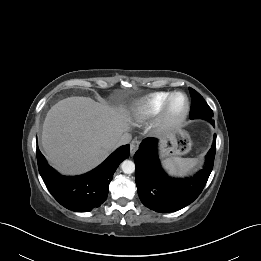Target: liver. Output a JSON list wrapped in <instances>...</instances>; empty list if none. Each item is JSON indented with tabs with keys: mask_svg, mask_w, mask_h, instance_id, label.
<instances>
[{
	"mask_svg": "<svg viewBox=\"0 0 261 261\" xmlns=\"http://www.w3.org/2000/svg\"><path fill=\"white\" fill-rule=\"evenodd\" d=\"M129 126L124 107L113 108L88 97H68L48 111L42 147L59 172L81 174L104 161Z\"/></svg>",
	"mask_w": 261,
	"mask_h": 261,
	"instance_id": "1",
	"label": "liver"
}]
</instances>
